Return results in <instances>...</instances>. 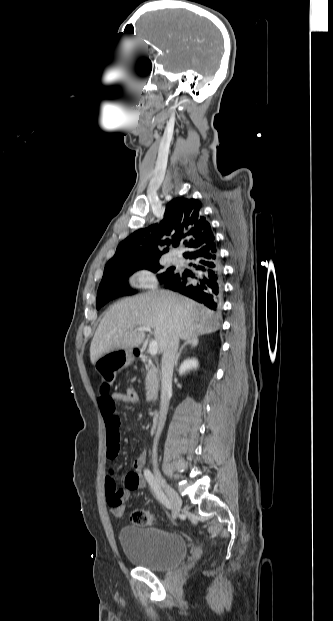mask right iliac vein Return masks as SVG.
Instances as JSON below:
<instances>
[{"mask_svg":"<svg viewBox=\"0 0 333 621\" xmlns=\"http://www.w3.org/2000/svg\"><path fill=\"white\" fill-rule=\"evenodd\" d=\"M155 477L158 483L162 486V488L167 493L169 500L173 507L174 517H176L180 513V510H181L182 499L177 494V492L172 487H170L166 479L162 476L161 472L157 468L155 469Z\"/></svg>","mask_w":333,"mask_h":621,"instance_id":"obj_1","label":"right iliac vein"}]
</instances>
